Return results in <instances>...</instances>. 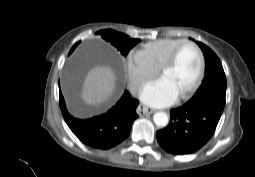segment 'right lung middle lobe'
<instances>
[{
	"instance_id": "obj_1",
	"label": "right lung middle lobe",
	"mask_w": 255,
	"mask_h": 177,
	"mask_svg": "<svg viewBox=\"0 0 255 177\" xmlns=\"http://www.w3.org/2000/svg\"><path fill=\"white\" fill-rule=\"evenodd\" d=\"M104 40L111 43L121 52L122 55H127L132 47H134L140 40L132 39L129 36L119 33L112 29L101 30L98 32ZM77 45V44H76ZM74 46V48L76 47ZM74 50V49H73ZM72 52V49L70 53Z\"/></svg>"
}]
</instances>
